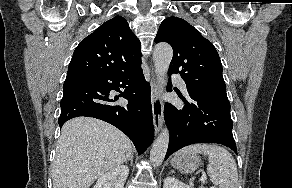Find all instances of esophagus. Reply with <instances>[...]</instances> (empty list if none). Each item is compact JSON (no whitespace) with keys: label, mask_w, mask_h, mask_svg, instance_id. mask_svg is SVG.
Listing matches in <instances>:
<instances>
[{"label":"esophagus","mask_w":292,"mask_h":188,"mask_svg":"<svg viewBox=\"0 0 292 188\" xmlns=\"http://www.w3.org/2000/svg\"><path fill=\"white\" fill-rule=\"evenodd\" d=\"M151 104L153 112L154 130L155 134L157 135L163 124V104L161 100V89L154 72H152L151 79Z\"/></svg>","instance_id":"34e87169"}]
</instances>
